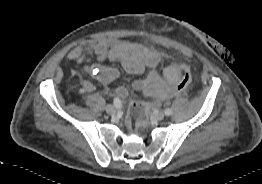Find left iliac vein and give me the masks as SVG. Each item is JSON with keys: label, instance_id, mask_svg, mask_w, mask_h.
<instances>
[{"label": "left iliac vein", "instance_id": "left-iliac-vein-1", "mask_svg": "<svg viewBox=\"0 0 262 184\" xmlns=\"http://www.w3.org/2000/svg\"><path fill=\"white\" fill-rule=\"evenodd\" d=\"M165 117V114L163 112H158L153 115V118L157 121L163 120Z\"/></svg>", "mask_w": 262, "mask_h": 184}]
</instances>
